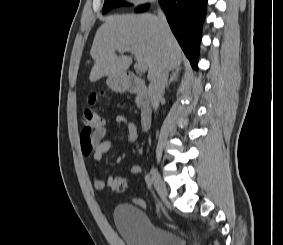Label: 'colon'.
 Here are the masks:
<instances>
[{"label":"colon","instance_id":"colon-1","mask_svg":"<svg viewBox=\"0 0 283 245\" xmlns=\"http://www.w3.org/2000/svg\"><path fill=\"white\" fill-rule=\"evenodd\" d=\"M98 97L96 95H92L89 98L90 107L86 108L82 113V122L83 128L85 130H90L92 128L99 127L103 125L102 118L97 114V112L92 108V106L97 102ZM128 184L127 180L124 177L118 176L114 178L112 189L117 192H123L127 190ZM133 203L141 208L146 207V202L141 198H134Z\"/></svg>","mask_w":283,"mask_h":245}]
</instances>
